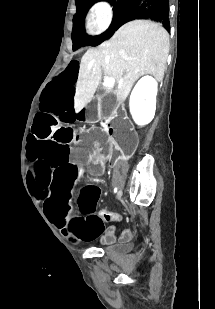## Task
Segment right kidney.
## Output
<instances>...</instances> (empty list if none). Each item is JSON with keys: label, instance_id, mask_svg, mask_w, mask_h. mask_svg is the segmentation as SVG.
Wrapping results in <instances>:
<instances>
[{"label": "right kidney", "instance_id": "right-kidney-1", "mask_svg": "<svg viewBox=\"0 0 215 309\" xmlns=\"http://www.w3.org/2000/svg\"><path fill=\"white\" fill-rule=\"evenodd\" d=\"M158 84L153 76H143L130 94V110L137 124H147L154 118Z\"/></svg>", "mask_w": 215, "mask_h": 309}]
</instances>
